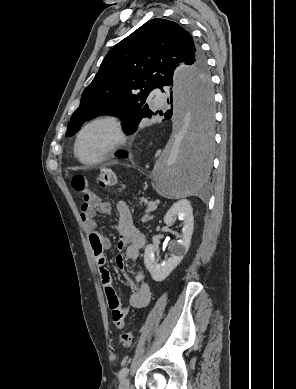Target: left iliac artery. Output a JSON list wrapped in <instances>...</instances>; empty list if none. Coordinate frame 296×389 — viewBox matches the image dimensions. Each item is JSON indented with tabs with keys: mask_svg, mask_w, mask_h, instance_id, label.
Segmentation results:
<instances>
[{
	"mask_svg": "<svg viewBox=\"0 0 296 389\" xmlns=\"http://www.w3.org/2000/svg\"><path fill=\"white\" fill-rule=\"evenodd\" d=\"M129 372V369L127 367H124L119 372V379H124Z\"/></svg>",
	"mask_w": 296,
	"mask_h": 389,
	"instance_id": "obj_1",
	"label": "left iliac artery"
}]
</instances>
